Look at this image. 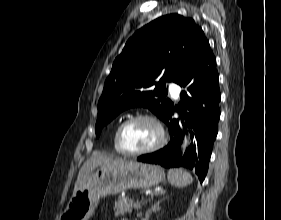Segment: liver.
Masks as SVG:
<instances>
[{"instance_id":"6515ba94","label":"liver","mask_w":281,"mask_h":220,"mask_svg":"<svg viewBox=\"0 0 281 220\" xmlns=\"http://www.w3.org/2000/svg\"><path fill=\"white\" fill-rule=\"evenodd\" d=\"M131 163V161L114 158L103 153H94L81 167L75 183L73 195L80 189L84 181L93 173L96 168L100 167L103 169H116Z\"/></svg>"}]
</instances>
